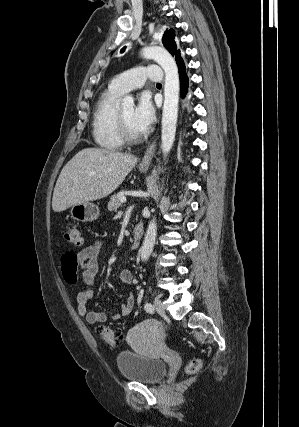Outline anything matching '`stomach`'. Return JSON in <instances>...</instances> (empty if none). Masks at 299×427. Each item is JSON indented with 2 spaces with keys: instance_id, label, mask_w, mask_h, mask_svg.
Wrapping results in <instances>:
<instances>
[{
  "instance_id": "obj_1",
  "label": "stomach",
  "mask_w": 299,
  "mask_h": 427,
  "mask_svg": "<svg viewBox=\"0 0 299 427\" xmlns=\"http://www.w3.org/2000/svg\"><path fill=\"white\" fill-rule=\"evenodd\" d=\"M148 166H140V172H146ZM100 214L99 207L91 202L76 204L70 207V215L74 220L92 222L97 220Z\"/></svg>"
}]
</instances>
